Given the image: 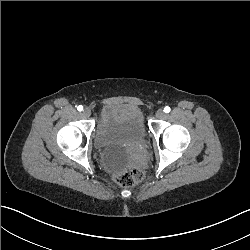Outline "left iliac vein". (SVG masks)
<instances>
[{"label": "left iliac vein", "mask_w": 250, "mask_h": 250, "mask_svg": "<svg viewBox=\"0 0 250 250\" xmlns=\"http://www.w3.org/2000/svg\"><path fill=\"white\" fill-rule=\"evenodd\" d=\"M156 117H157L158 119H163V118L165 117V112H164L162 109H158V110L156 111Z\"/></svg>", "instance_id": "1"}]
</instances>
